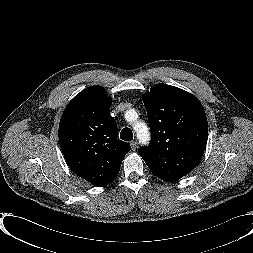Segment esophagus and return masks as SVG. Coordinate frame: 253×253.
I'll list each match as a JSON object with an SVG mask.
<instances>
[{
  "instance_id": "1",
  "label": "esophagus",
  "mask_w": 253,
  "mask_h": 253,
  "mask_svg": "<svg viewBox=\"0 0 253 253\" xmlns=\"http://www.w3.org/2000/svg\"><path fill=\"white\" fill-rule=\"evenodd\" d=\"M132 150H136L138 146V142L136 140L132 141L130 143Z\"/></svg>"
}]
</instances>
